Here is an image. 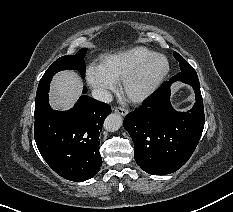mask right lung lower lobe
Masks as SVG:
<instances>
[{"label": "right lung lower lobe", "mask_w": 233, "mask_h": 212, "mask_svg": "<svg viewBox=\"0 0 233 212\" xmlns=\"http://www.w3.org/2000/svg\"><path fill=\"white\" fill-rule=\"evenodd\" d=\"M87 89L84 87L83 93ZM111 107L87 95L65 112L53 110L48 93L35 103V141L47 164L71 181L95 176L102 165L99 135Z\"/></svg>", "instance_id": "98d812e1"}]
</instances>
